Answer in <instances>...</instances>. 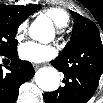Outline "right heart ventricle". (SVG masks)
<instances>
[{"label": "right heart ventricle", "mask_w": 103, "mask_h": 103, "mask_svg": "<svg viewBox=\"0 0 103 103\" xmlns=\"http://www.w3.org/2000/svg\"><path fill=\"white\" fill-rule=\"evenodd\" d=\"M45 13L53 20V22L59 28H64L69 22L68 14L60 8L57 7L49 8L45 11Z\"/></svg>", "instance_id": "1"}]
</instances>
